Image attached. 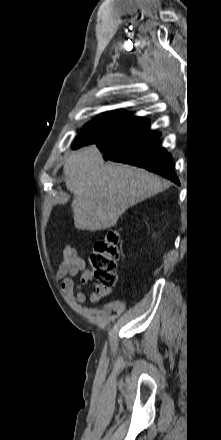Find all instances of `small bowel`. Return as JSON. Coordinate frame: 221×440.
Here are the masks:
<instances>
[{
  "instance_id": "1",
  "label": "small bowel",
  "mask_w": 221,
  "mask_h": 440,
  "mask_svg": "<svg viewBox=\"0 0 221 440\" xmlns=\"http://www.w3.org/2000/svg\"><path fill=\"white\" fill-rule=\"evenodd\" d=\"M56 276L62 280V290L69 299L75 297L78 303H85L86 294L83 291V287L92 280L93 275L86 268L83 257L75 248L69 245L64 247L63 259L59 264ZM75 277L78 278L77 284L74 281ZM111 294V288H105L95 283L90 290V300L93 303H100Z\"/></svg>"
}]
</instances>
